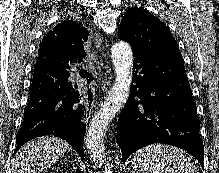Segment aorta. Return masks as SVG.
<instances>
[{"label":"aorta","mask_w":219,"mask_h":173,"mask_svg":"<svg viewBox=\"0 0 219 173\" xmlns=\"http://www.w3.org/2000/svg\"><path fill=\"white\" fill-rule=\"evenodd\" d=\"M111 57L116 79L102 107L92 118L84 140L91 160L99 165L105 161L104 136L107 127L126 103L132 82L133 52L130 45L124 41L114 44Z\"/></svg>","instance_id":"1"}]
</instances>
